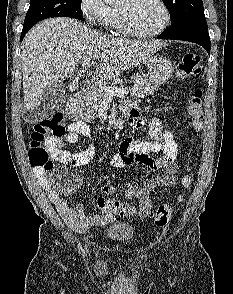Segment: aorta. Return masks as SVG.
<instances>
[{
	"label": "aorta",
	"instance_id": "1",
	"mask_svg": "<svg viewBox=\"0 0 233 294\" xmlns=\"http://www.w3.org/2000/svg\"><path fill=\"white\" fill-rule=\"evenodd\" d=\"M104 2L108 5H114L120 2V0H104Z\"/></svg>",
	"mask_w": 233,
	"mask_h": 294
}]
</instances>
